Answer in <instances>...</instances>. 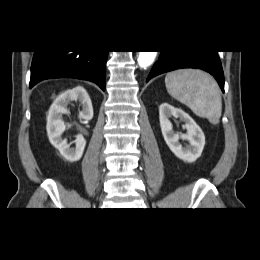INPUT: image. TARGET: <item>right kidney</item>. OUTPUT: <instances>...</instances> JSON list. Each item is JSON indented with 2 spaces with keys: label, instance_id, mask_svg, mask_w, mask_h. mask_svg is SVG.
<instances>
[{
  "label": "right kidney",
  "instance_id": "obj_1",
  "mask_svg": "<svg viewBox=\"0 0 260 260\" xmlns=\"http://www.w3.org/2000/svg\"><path fill=\"white\" fill-rule=\"evenodd\" d=\"M72 101H79L82 110L79 112V118L82 120H91L93 118V107L87 91L81 87H75L67 90L57 97L49 109L47 116V134L50 143L59 150L60 154L69 162L80 160L83 155L86 141L81 134L76 136L75 147L71 148L67 139H62L65 131L63 114H69L67 108Z\"/></svg>",
  "mask_w": 260,
  "mask_h": 260
}]
</instances>
